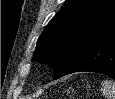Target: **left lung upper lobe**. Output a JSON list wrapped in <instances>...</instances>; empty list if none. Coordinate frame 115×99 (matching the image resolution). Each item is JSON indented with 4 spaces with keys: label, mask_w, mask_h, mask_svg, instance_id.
Returning <instances> with one entry per match:
<instances>
[{
    "label": "left lung upper lobe",
    "mask_w": 115,
    "mask_h": 99,
    "mask_svg": "<svg viewBox=\"0 0 115 99\" xmlns=\"http://www.w3.org/2000/svg\"><path fill=\"white\" fill-rule=\"evenodd\" d=\"M115 26V0H67L37 41L33 60L50 62L54 79Z\"/></svg>",
    "instance_id": "1"
}]
</instances>
